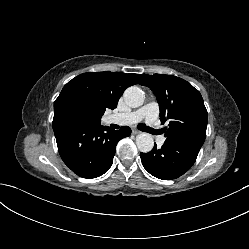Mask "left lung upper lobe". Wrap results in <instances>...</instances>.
I'll use <instances>...</instances> for the list:
<instances>
[{
	"label": "left lung upper lobe",
	"mask_w": 249,
	"mask_h": 249,
	"mask_svg": "<svg viewBox=\"0 0 249 249\" xmlns=\"http://www.w3.org/2000/svg\"><path fill=\"white\" fill-rule=\"evenodd\" d=\"M155 94L164 123L165 142H186L201 147L206 137L208 114L200 92L173 75H145L142 83Z\"/></svg>",
	"instance_id": "5c2ea615"
}]
</instances>
